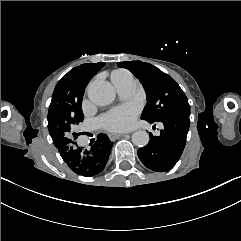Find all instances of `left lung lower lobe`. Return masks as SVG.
<instances>
[{
	"instance_id": "0a47b994",
	"label": "left lung lower lobe",
	"mask_w": 241,
	"mask_h": 241,
	"mask_svg": "<svg viewBox=\"0 0 241 241\" xmlns=\"http://www.w3.org/2000/svg\"><path fill=\"white\" fill-rule=\"evenodd\" d=\"M189 116L190 110L164 118L160 121L164 125L160 136L155 137L150 133L149 143L138 150V156L147 168L165 172L175 166L186 144Z\"/></svg>"
}]
</instances>
